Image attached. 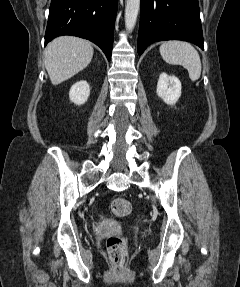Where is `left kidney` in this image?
Masks as SVG:
<instances>
[{
	"label": "left kidney",
	"instance_id": "left-kidney-1",
	"mask_svg": "<svg viewBox=\"0 0 240 287\" xmlns=\"http://www.w3.org/2000/svg\"><path fill=\"white\" fill-rule=\"evenodd\" d=\"M156 92L166 104L174 105L181 96V82L177 77L163 72L159 76Z\"/></svg>",
	"mask_w": 240,
	"mask_h": 287
}]
</instances>
